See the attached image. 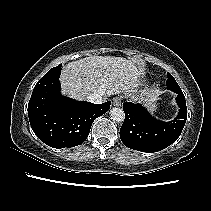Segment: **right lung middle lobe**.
I'll list each match as a JSON object with an SVG mask.
<instances>
[{"label": "right lung middle lobe", "instance_id": "right-lung-middle-lobe-1", "mask_svg": "<svg viewBox=\"0 0 211 211\" xmlns=\"http://www.w3.org/2000/svg\"><path fill=\"white\" fill-rule=\"evenodd\" d=\"M58 66H61V64H60V65H58ZM58 66H57V67H58ZM57 67L52 68V69H51V70H49L47 73H49V72H51V71L55 70Z\"/></svg>", "mask_w": 211, "mask_h": 211}]
</instances>
